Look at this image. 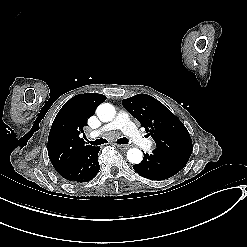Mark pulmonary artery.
I'll return each instance as SVG.
<instances>
[{"mask_svg": "<svg viewBox=\"0 0 247 247\" xmlns=\"http://www.w3.org/2000/svg\"><path fill=\"white\" fill-rule=\"evenodd\" d=\"M115 129L121 130L132 142L140 145L143 149L153 150L156 148V144L152 140L143 139V132L131 120L129 112L124 109L118 110L114 120L106 124L100 132Z\"/></svg>", "mask_w": 247, "mask_h": 247, "instance_id": "1", "label": "pulmonary artery"}]
</instances>
